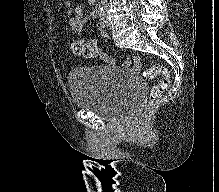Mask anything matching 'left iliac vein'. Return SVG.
Returning a JSON list of instances; mask_svg holds the SVG:
<instances>
[{
  "label": "left iliac vein",
  "mask_w": 219,
  "mask_h": 192,
  "mask_svg": "<svg viewBox=\"0 0 219 192\" xmlns=\"http://www.w3.org/2000/svg\"><path fill=\"white\" fill-rule=\"evenodd\" d=\"M100 22L104 27H110L111 23L108 19L107 10L105 9L103 14L100 16Z\"/></svg>",
  "instance_id": "1"
}]
</instances>
